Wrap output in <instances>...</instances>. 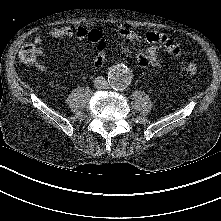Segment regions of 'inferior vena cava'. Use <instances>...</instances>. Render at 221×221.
<instances>
[{
    "label": "inferior vena cava",
    "instance_id": "obj_1",
    "mask_svg": "<svg viewBox=\"0 0 221 221\" xmlns=\"http://www.w3.org/2000/svg\"><path fill=\"white\" fill-rule=\"evenodd\" d=\"M94 84H95V86H97L99 88H107L108 87V82L106 81V79L103 76H98L97 78H95Z\"/></svg>",
    "mask_w": 221,
    "mask_h": 221
}]
</instances>
